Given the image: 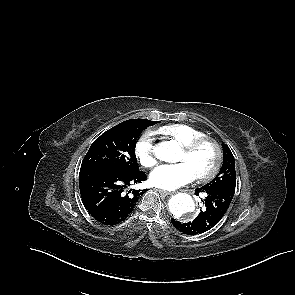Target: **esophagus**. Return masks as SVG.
I'll list each match as a JSON object with an SVG mask.
<instances>
[{
    "label": "esophagus",
    "mask_w": 295,
    "mask_h": 295,
    "mask_svg": "<svg viewBox=\"0 0 295 295\" xmlns=\"http://www.w3.org/2000/svg\"><path fill=\"white\" fill-rule=\"evenodd\" d=\"M156 191H158L160 194H163L165 196H168V195L172 194L171 192H168V191H165V190H162V189H156Z\"/></svg>",
    "instance_id": "obj_1"
}]
</instances>
